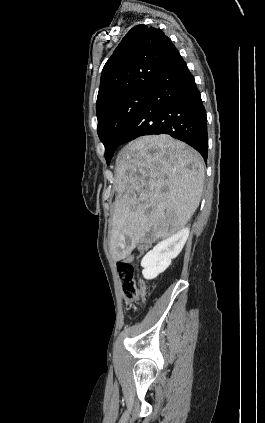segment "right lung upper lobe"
Returning <instances> with one entry per match:
<instances>
[{
  "instance_id": "right-lung-upper-lobe-1",
  "label": "right lung upper lobe",
  "mask_w": 265,
  "mask_h": 423,
  "mask_svg": "<svg viewBox=\"0 0 265 423\" xmlns=\"http://www.w3.org/2000/svg\"><path fill=\"white\" fill-rule=\"evenodd\" d=\"M178 53L162 30L145 25L133 27L102 70L97 116L119 99L151 89Z\"/></svg>"
}]
</instances>
